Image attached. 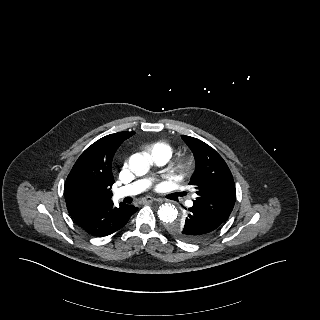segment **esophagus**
Here are the masks:
<instances>
[{
	"mask_svg": "<svg viewBox=\"0 0 320 320\" xmlns=\"http://www.w3.org/2000/svg\"><path fill=\"white\" fill-rule=\"evenodd\" d=\"M158 201V199L153 198V197H146L142 200V203L148 204V203H153Z\"/></svg>",
	"mask_w": 320,
	"mask_h": 320,
	"instance_id": "1",
	"label": "esophagus"
}]
</instances>
